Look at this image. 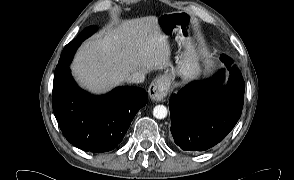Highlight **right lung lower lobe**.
<instances>
[{
	"mask_svg": "<svg viewBox=\"0 0 294 180\" xmlns=\"http://www.w3.org/2000/svg\"><path fill=\"white\" fill-rule=\"evenodd\" d=\"M80 44L66 45L56 66L53 111L71 144L84 151L107 152L122 141L135 114L146 105L148 93L138 87H119L103 96L81 90L69 69Z\"/></svg>",
	"mask_w": 294,
	"mask_h": 180,
	"instance_id": "98d812e1",
	"label": "right lung lower lobe"
}]
</instances>
